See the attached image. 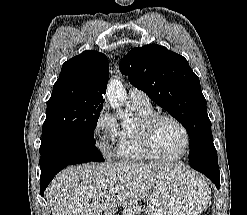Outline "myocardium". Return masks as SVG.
I'll return each instance as SVG.
<instances>
[{
  "instance_id": "myocardium-1",
  "label": "myocardium",
  "mask_w": 247,
  "mask_h": 215,
  "mask_svg": "<svg viewBox=\"0 0 247 215\" xmlns=\"http://www.w3.org/2000/svg\"><path fill=\"white\" fill-rule=\"evenodd\" d=\"M162 120H170L176 123L180 129L182 130L185 138V147L183 152L176 157H169L162 155L156 148L155 140H154V130L157 126V124ZM139 134L142 140V143L148 152V154L155 160L160 161H178L185 157V155L188 153L190 148V134L187 129V127L184 125V123L178 119L177 117L162 113V114H152L145 120H143L139 125Z\"/></svg>"
}]
</instances>
